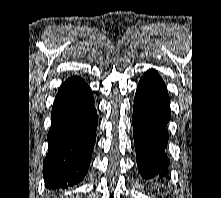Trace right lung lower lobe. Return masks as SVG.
<instances>
[{
    "instance_id": "98d812e1",
    "label": "right lung lower lobe",
    "mask_w": 221,
    "mask_h": 198,
    "mask_svg": "<svg viewBox=\"0 0 221 198\" xmlns=\"http://www.w3.org/2000/svg\"><path fill=\"white\" fill-rule=\"evenodd\" d=\"M51 118L43 165L45 186L66 189L84 178L96 140L97 111L85 81L75 76L61 85Z\"/></svg>"
}]
</instances>
